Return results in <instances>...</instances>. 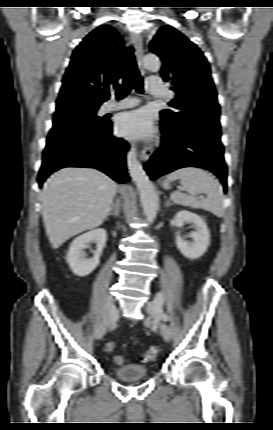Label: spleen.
Returning <instances> with one entry per match:
<instances>
[{"mask_svg":"<svg viewBox=\"0 0 273 430\" xmlns=\"http://www.w3.org/2000/svg\"><path fill=\"white\" fill-rule=\"evenodd\" d=\"M168 181L180 180L182 189L187 193L175 191L171 200L183 206L203 208L218 217L224 215L222 188L209 173L197 167H183L167 176ZM204 193L206 198L198 200L196 194Z\"/></svg>","mask_w":273,"mask_h":430,"instance_id":"spleen-1","label":"spleen"}]
</instances>
